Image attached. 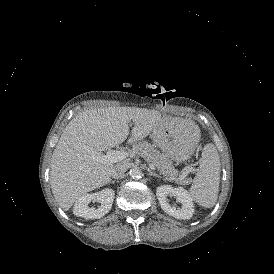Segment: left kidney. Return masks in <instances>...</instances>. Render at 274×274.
I'll return each instance as SVG.
<instances>
[{"instance_id":"5707ae66","label":"left kidney","mask_w":274,"mask_h":274,"mask_svg":"<svg viewBox=\"0 0 274 274\" xmlns=\"http://www.w3.org/2000/svg\"><path fill=\"white\" fill-rule=\"evenodd\" d=\"M156 195L161 208L168 215L183 220L192 218L194 213L193 203L184 189L162 185L157 188ZM168 196L175 197L181 208H177L175 205L172 206L169 203Z\"/></svg>"}]
</instances>
